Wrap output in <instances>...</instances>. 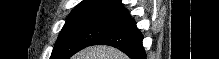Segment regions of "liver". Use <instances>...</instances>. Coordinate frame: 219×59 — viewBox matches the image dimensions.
<instances>
[{
    "mask_svg": "<svg viewBox=\"0 0 219 59\" xmlns=\"http://www.w3.org/2000/svg\"><path fill=\"white\" fill-rule=\"evenodd\" d=\"M72 59H128L121 51L110 46H91L77 54Z\"/></svg>",
    "mask_w": 219,
    "mask_h": 59,
    "instance_id": "1",
    "label": "liver"
}]
</instances>
